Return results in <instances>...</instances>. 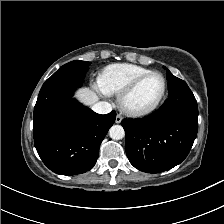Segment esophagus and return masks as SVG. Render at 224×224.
<instances>
[{"mask_svg": "<svg viewBox=\"0 0 224 224\" xmlns=\"http://www.w3.org/2000/svg\"><path fill=\"white\" fill-rule=\"evenodd\" d=\"M122 116L120 115V114H118L117 116H116V119H115V122L116 123H120L121 121H122Z\"/></svg>", "mask_w": 224, "mask_h": 224, "instance_id": "obj_1", "label": "esophagus"}]
</instances>
